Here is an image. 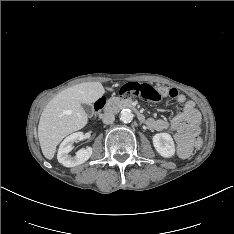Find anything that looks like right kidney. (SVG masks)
I'll list each match as a JSON object with an SVG mask.
<instances>
[{"instance_id": "obj_1", "label": "right kidney", "mask_w": 234, "mask_h": 234, "mask_svg": "<svg viewBox=\"0 0 234 234\" xmlns=\"http://www.w3.org/2000/svg\"><path fill=\"white\" fill-rule=\"evenodd\" d=\"M83 139H84L83 132H76L66 137L63 140V142L60 144L57 153V159L59 163H61L65 167H74L85 163L92 155L91 147L78 150L75 156L69 155V153L73 149V144Z\"/></svg>"}]
</instances>
